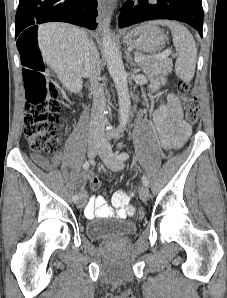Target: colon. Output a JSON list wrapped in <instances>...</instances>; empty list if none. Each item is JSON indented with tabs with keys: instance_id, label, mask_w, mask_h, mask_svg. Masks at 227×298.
I'll use <instances>...</instances> for the list:
<instances>
[{
	"instance_id": "1",
	"label": "colon",
	"mask_w": 227,
	"mask_h": 298,
	"mask_svg": "<svg viewBox=\"0 0 227 298\" xmlns=\"http://www.w3.org/2000/svg\"><path fill=\"white\" fill-rule=\"evenodd\" d=\"M43 69L44 65L37 55L26 57L24 135L35 152L55 154L60 149L56 127L59 122L61 106L57 100V89L45 77ZM177 91L183 102L186 120L190 124H196L200 117V111L191 84L180 81ZM90 185L93 189H99L101 181L98 178H93ZM140 218H145V208H140Z\"/></svg>"
}]
</instances>
